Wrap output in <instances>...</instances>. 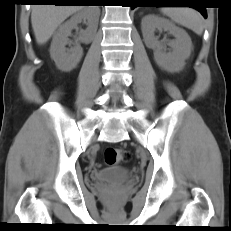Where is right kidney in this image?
<instances>
[{"instance_id":"right-kidney-1","label":"right kidney","mask_w":231,"mask_h":231,"mask_svg":"<svg viewBox=\"0 0 231 231\" xmlns=\"http://www.w3.org/2000/svg\"><path fill=\"white\" fill-rule=\"evenodd\" d=\"M99 15L98 8L87 7L78 11L59 27L51 43L50 55L60 70L70 71L77 66L83 55V49L78 41L90 43L93 40L98 28ZM82 21L87 25L86 30L81 31L74 47L67 49L65 46L71 44L68 38L71 31Z\"/></svg>"}]
</instances>
